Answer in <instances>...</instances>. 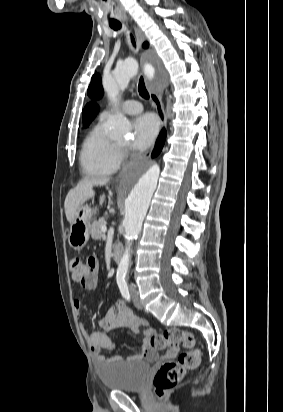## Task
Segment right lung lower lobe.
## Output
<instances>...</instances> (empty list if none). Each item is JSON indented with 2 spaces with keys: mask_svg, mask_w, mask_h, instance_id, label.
I'll return each instance as SVG.
<instances>
[{
  "mask_svg": "<svg viewBox=\"0 0 283 412\" xmlns=\"http://www.w3.org/2000/svg\"><path fill=\"white\" fill-rule=\"evenodd\" d=\"M165 139H166V131L163 129L161 131L160 135H159V138H158L157 142H156L155 148H154L153 153H152V157L157 156L161 152V150L164 146V143H165Z\"/></svg>",
  "mask_w": 283,
  "mask_h": 412,
  "instance_id": "1",
  "label": "right lung lower lobe"
}]
</instances>
